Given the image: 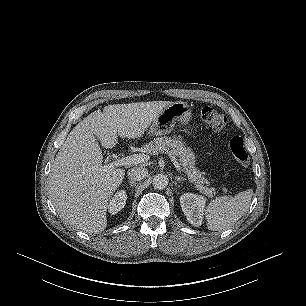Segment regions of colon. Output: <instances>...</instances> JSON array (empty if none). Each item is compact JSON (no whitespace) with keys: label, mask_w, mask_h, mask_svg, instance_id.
<instances>
[{"label":"colon","mask_w":306,"mask_h":306,"mask_svg":"<svg viewBox=\"0 0 306 306\" xmlns=\"http://www.w3.org/2000/svg\"><path fill=\"white\" fill-rule=\"evenodd\" d=\"M200 115L204 124L212 131L219 132L226 125L225 115L212 107H203ZM229 148L236 164L240 168L247 167L249 155L245 149L243 139L239 136L232 137L229 141Z\"/></svg>","instance_id":"colon-1"}]
</instances>
